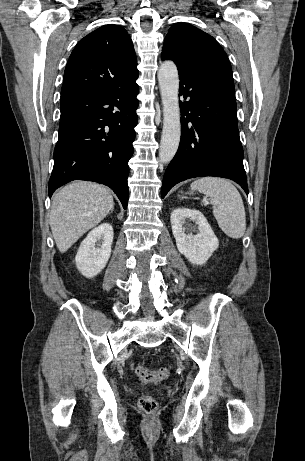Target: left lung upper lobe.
I'll return each instance as SVG.
<instances>
[{"label": "left lung upper lobe", "instance_id": "obj_1", "mask_svg": "<svg viewBox=\"0 0 305 461\" xmlns=\"http://www.w3.org/2000/svg\"><path fill=\"white\" fill-rule=\"evenodd\" d=\"M162 60H173L179 75L192 78L232 77L229 59L209 34L185 23L174 24L165 37Z\"/></svg>", "mask_w": 305, "mask_h": 461}]
</instances>
